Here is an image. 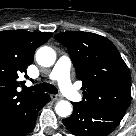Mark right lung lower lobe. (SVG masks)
<instances>
[{
  "label": "right lung lower lobe",
  "mask_w": 136,
  "mask_h": 136,
  "mask_svg": "<svg viewBox=\"0 0 136 136\" xmlns=\"http://www.w3.org/2000/svg\"><path fill=\"white\" fill-rule=\"evenodd\" d=\"M49 101L48 94L38 95L20 120L0 129V136H25L33 129L38 111Z\"/></svg>",
  "instance_id": "98d812e1"
}]
</instances>
